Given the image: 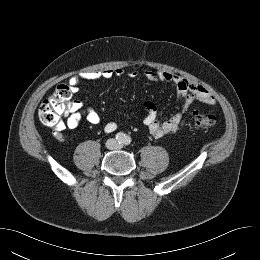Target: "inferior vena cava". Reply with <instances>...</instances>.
<instances>
[{"instance_id": "1", "label": "inferior vena cava", "mask_w": 260, "mask_h": 260, "mask_svg": "<svg viewBox=\"0 0 260 260\" xmlns=\"http://www.w3.org/2000/svg\"><path fill=\"white\" fill-rule=\"evenodd\" d=\"M107 145V148L109 149H117L118 148V145L116 144V141L114 139H109L106 143Z\"/></svg>"}]
</instances>
